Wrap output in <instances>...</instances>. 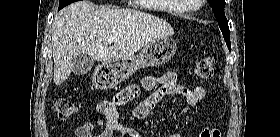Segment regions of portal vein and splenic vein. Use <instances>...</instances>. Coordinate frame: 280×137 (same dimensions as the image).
<instances>
[{"label":"portal vein and splenic vein","instance_id":"18ae733b","mask_svg":"<svg viewBox=\"0 0 280 137\" xmlns=\"http://www.w3.org/2000/svg\"><path fill=\"white\" fill-rule=\"evenodd\" d=\"M113 41H117V38L116 37H112L109 39V42H113Z\"/></svg>","mask_w":280,"mask_h":137}]
</instances>
